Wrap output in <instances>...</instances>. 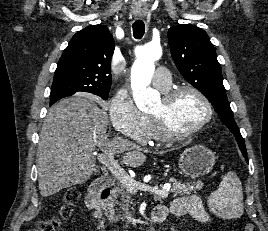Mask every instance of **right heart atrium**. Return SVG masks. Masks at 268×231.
Listing matches in <instances>:
<instances>
[{
	"mask_svg": "<svg viewBox=\"0 0 268 231\" xmlns=\"http://www.w3.org/2000/svg\"><path fill=\"white\" fill-rule=\"evenodd\" d=\"M108 113L115 131L141 144L150 141L149 118L138 109L127 90L121 89L113 95Z\"/></svg>",
	"mask_w": 268,
	"mask_h": 231,
	"instance_id": "1",
	"label": "right heart atrium"
}]
</instances>
